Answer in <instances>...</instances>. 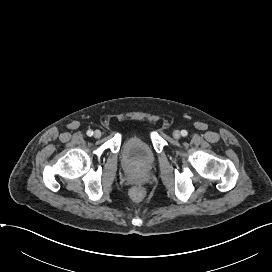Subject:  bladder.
<instances>
[{"label":"bladder","instance_id":"bladder-1","mask_svg":"<svg viewBox=\"0 0 272 272\" xmlns=\"http://www.w3.org/2000/svg\"><path fill=\"white\" fill-rule=\"evenodd\" d=\"M155 160V154L150 145L142 138L130 137L123 148L122 161L130 170H147Z\"/></svg>","mask_w":272,"mask_h":272}]
</instances>
